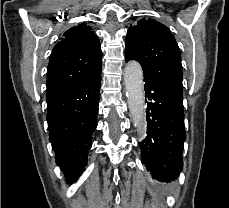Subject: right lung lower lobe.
<instances>
[{"mask_svg": "<svg viewBox=\"0 0 229 208\" xmlns=\"http://www.w3.org/2000/svg\"><path fill=\"white\" fill-rule=\"evenodd\" d=\"M100 81L101 68L92 77L47 99L49 140L68 183L87 165L97 126Z\"/></svg>", "mask_w": 229, "mask_h": 208, "instance_id": "1", "label": "right lung lower lobe"}]
</instances>
